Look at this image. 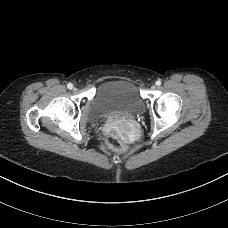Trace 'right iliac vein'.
<instances>
[{"instance_id":"right-iliac-vein-1","label":"right iliac vein","mask_w":228,"mask_h":228,"mask_svg":"<svg viewBox=\"0 0 228 228\" xmlns=\"http://www.w3.org/2000/svg\"><path fill=\"white\" fill-rule=\"evenodd\" d=\"M73 89H74V90H77V88H76V87H74Z\"/></svg>"}]
</instances>
